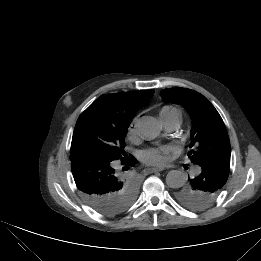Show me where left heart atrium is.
Instances as JSON below:
<instances>
[{
    "instance_id": "left-heart-atrium-1",
    "label": "left heart atrium",
    "mask_w": 261,
    "mask_h": 261,
    "mask_svg": "<svg viewBox=\"0 0 261 261\" xmlns=\"http://www.w3.org/2000/svg\"><path fill=\"white\" fill-rule=\"evenodd\" d=\"M174 148L169 145L147 149L142 154V161L147 165L164 166L169 162Z\"/></svg>"
}]
</instances>
